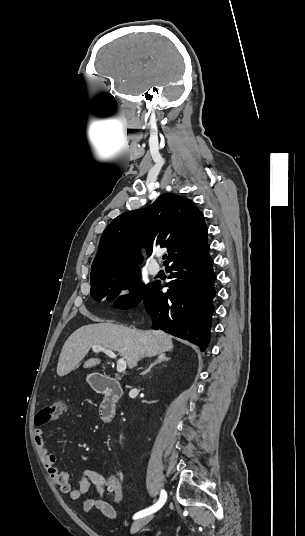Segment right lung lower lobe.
Wrapping results in <instances>:
<instances>
[{"mask_svg":"<svg viewBox=\"0 0 305 536\" xmlns=\"http://www.w3.org/2000/svg\"><path fill=\"white\" fill-rule=\"evenodd\" d=\"M208 251L209 245L170 263L166 270L173 280L165 285L169 287L167 293H162L161 284L155 282L143 299L154 329L187 339L199 345L201 351L210 341L216 293V275Z\"/></svg>","mask_w":305,"mask_h":536,"instance_id":"right-lung-lower-lobe-1","label":"right lung lower lobe"}]
</instances>
